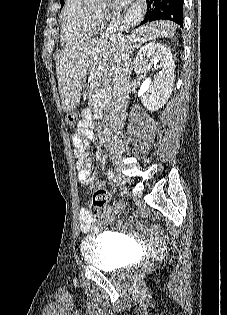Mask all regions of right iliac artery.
<instances>
[{"label":"right iliac artery","instance_id":"1","mask_svg":"<svg viewBox=\"0 0 227 315\" xmlns=\"http://www.w3.org/2000/svg\"><path fill=\"white\" fill-rule=\"evenodd\" d=\"M107 177L110 181L116 183L118 181V177L117 175L115 174V172L109 170L107 171Z\"/></svg>","mask_w":227,"mask_h":315}]
</instances>
